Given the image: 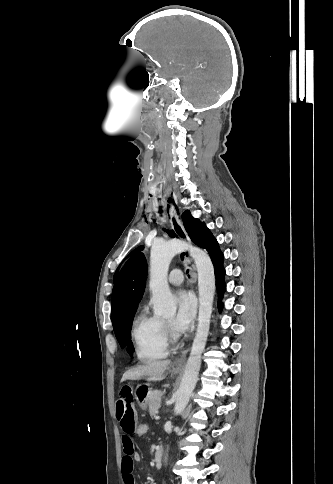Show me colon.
Masks as SVG:
<instances>
[{
	"label": "colon",
	"mask_w": 333,
	"mask_h": 484,
	"mask_svg": "<svg viewBox=\"0 0 333 484\" xmlns=\"http://www.w3.org/2000/svg\"><path fill=\"white\" fill-rule=\"evenodd\" d=\"M150 430V426L147 422H138L136 428H135V435L139 438L145 437Z\"/></svg>",
	"instance_id": "obj_1"
}]
</instances>
